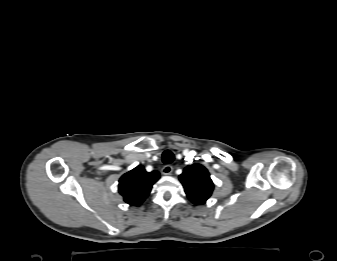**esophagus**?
<instances>
[{
  "label": "esophagus",
  "mask_w": 337,
  "mask_h": 261,
  "mask_svg": "<svg viewBox=\"0 0 337 261\" xmlns=\"http://www.w3.org/2000/svg\"><path fill=\"white\" fill-rule=\"evenodd\" d=\"M161 172L163 175H170L173 172V167L171 165H165L163 166Z\"/></svg>",
  "instance_id": "34e87169"
}]
</instances>
